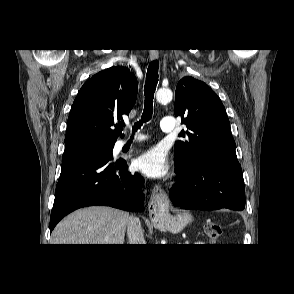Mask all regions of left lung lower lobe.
Returning <instances> with one entry per match:
<instances>
[{
	"label": "left lung lower lobe",
	"instance_id": "0a47b994",
	"mask_svg": "<svg viewBox=\"0 0 294 294\" xmlns=\"http://www.w3.org/2000/svg\"><path fill=\"white\" fill-rule=\"evenodd\" d=\"M178 182L170 191L174 206L183 209L243 210L245 187L238 162L213 160L185 168L175 160Z\"/></svg>",
	"mask_w": 294,
	"mask_h": 294
}]
</instances>
